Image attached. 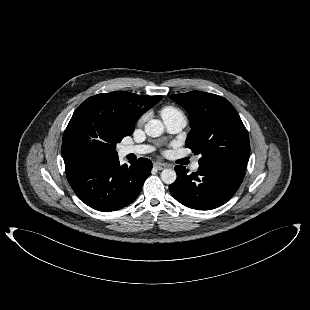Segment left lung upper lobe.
<instances>
[{
    "label": "left lung upper lobe",
    "mask_w": 310,
    "mask_h": 310,
    "mask_svg": "<svg viewBox=\"0 0 310 310\" xmlns=\"http://www.w3.org/2000/svg\"><path fill=\"white\" fill-rule=\"evenodd\" d=\"M189 114L186 147L201 154L199 165H224L245 170L250 156L248 132L225 98L200 91L170 95Z\"/></svg>",
    "instance_id": "5c2ea615"
}]
</instances>
